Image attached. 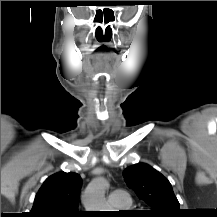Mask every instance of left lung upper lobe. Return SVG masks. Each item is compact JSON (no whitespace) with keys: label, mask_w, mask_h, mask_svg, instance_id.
<instances>
[{"label":"left lung upper lobe","mask_w":217,"mask_h":217,"mask_svg":"<svg viewBox=\"0 0 217 217\" xmlns=\"http://www.w3.org/2000/svg\"><path fill=\"white\" fill-rule=\"evenodd\" d=\"M124 180L152 210L151 217H180L179 202L170 182L145 163L124 170Z\"/></svg>","instance_id":"1"}]
</instances>
